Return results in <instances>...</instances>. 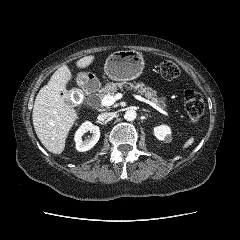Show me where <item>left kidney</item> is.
<instances>
[{"instance_id":"5707ae66","label":"left kidney","mask_w":240,"mask_h":240,"mask_svg":"<svg viewBox=\"0 0 240 240\" xmlns=\"http://www.w3.org/2000/svg\"><path fill=\"white\" fill-rule=\"evenodd\" d=\"M154 134H155L156 138L159 140H162L165 142H170L172 140L171 130L166 125H161V126L155 127Z\"/></svg>"}]
</instances>
